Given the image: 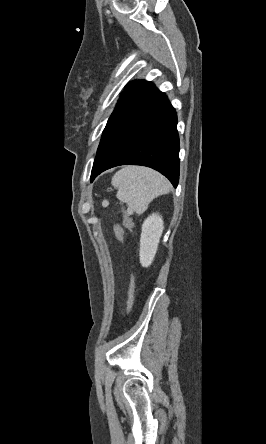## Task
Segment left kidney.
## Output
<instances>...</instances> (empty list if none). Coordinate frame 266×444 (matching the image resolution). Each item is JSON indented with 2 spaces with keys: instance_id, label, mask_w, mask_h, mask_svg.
Wrapping results in <instances>:
<instances>
[{
  "instance_id": "left-kidney-1",
  "label": "left kidney",
  "mask_w": 266,
  "mask_h": 444,
  "mask_svg": "<svg viewBox=\"0 0 266 444\" xmlns=\"http://www.w3.org/2000/svg\"><path fill=\"white\" fill-rule=\"evenodd\" d=\"M163 224L162 217L155 213L150 215L142 224L139 257L143 267H149L154 260L163 233Z\"/></svg>"
}]
</instances>
